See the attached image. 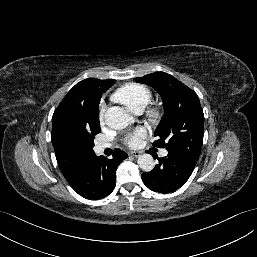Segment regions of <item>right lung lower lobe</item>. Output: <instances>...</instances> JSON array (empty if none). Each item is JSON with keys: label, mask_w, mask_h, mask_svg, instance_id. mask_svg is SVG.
<instances>
[{"label": "right lung lower lobe", "mask_w": 257, "mask_h": 257, "mask_svg": "<svg viewBox=\"0 0 257 257\" xmlns=\"http://www.w3.org/2000/svg\"><path fill=\"white\" fill-rule=\"evenodd\" d=\"M128 157L116 149L111 159L96 156L95 153L84 163L76 177L68 182L81 196L89 200H98L108 196L116 183V168Z\"/></svg>", "instance_id": "right-lung-lower-lobe-1"}]
</instances>
